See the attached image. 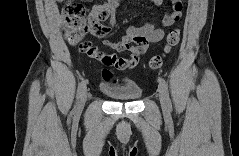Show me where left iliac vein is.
I'll return each mask as SVG.
<instances>
[{
	"label": "left iliac vein",
	"mask_w": 239,
	"mask_h": 156,
	"mask_svg": "<svg viewBox=\"0 0 239 156\" xmlns=\"http://www.w3.org/2000/svg\"><path fill=\"white\" fill-rule=\"evenodd\" d=\"M158 97H159L162 109L166 110L167 109L166 100H165L164 93L162 92L161 89L159 90Z\"/></svg>",
	"instance_id": "4c4485c4"
}]
</instances>
